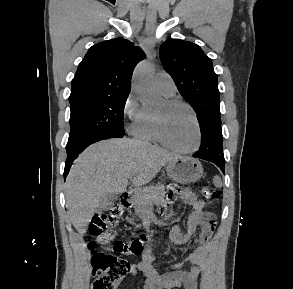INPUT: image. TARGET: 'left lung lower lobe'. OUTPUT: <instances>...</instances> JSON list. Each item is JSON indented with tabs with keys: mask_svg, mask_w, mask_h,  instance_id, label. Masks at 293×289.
<instances>
[{
	"mask_svg": "<svg viewBox=\"0 0 293 289\" xmlns=\"http://www.w3.org/2000/svg\"><path fill=\"white\" fill-rule=\"evenodd\" d=\"M201 129V146L193 157L215 163L224 173L223 137L221 124L210 123Z\"/></svg>",
	"mask_w": 293,
	"mask_h": 289,
	"instance_id": "obj_1",
	"label": "left lung lower lobe"
}]
</instances>
